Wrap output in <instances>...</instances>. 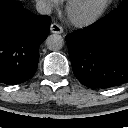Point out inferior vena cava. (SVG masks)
Returning a JSON list of instances; mask_svg holds the SVG:
<instances>
[{"label":"inferior vena cava","instance_id":"602c4592","mask_svg":"<svg viewBox=\"0 0 128 128\" xmlns=\"http://www.w3.org/2000/svg\"><path fill=\"white\" fill-rule=\"evenodd\" d=\"M36 9L38 13L42 15H49L52 12L51 6L44 0H38L36 3Z\"/></svg>","mask_w":128,"mask_h":128}]
</instances>
